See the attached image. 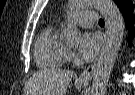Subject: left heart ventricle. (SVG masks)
<instances>
[{"label": "left heart ventricle", "mask_w": 135, "mask_h": 95, "mask_svg": "<svg viewBox=\"0 0 135 95\" xmlns=\"http://www.w3.org/2000/svg\"><path fill=\"white\" fill-rule=\"evenodd\" d=\"M87 26L79 25L77 26L78 29H85Z\"/></svg>", "instance_id": "1"}]
</instances>
